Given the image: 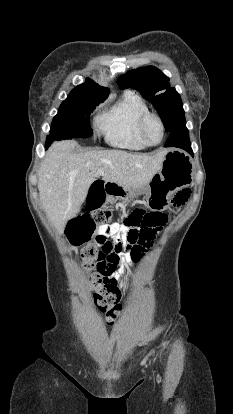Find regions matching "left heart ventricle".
Segmentation results:
<instances>
[{
    "label": "left heart ventricle",
    "mask_w": 233,
    "mask_h": 414,
    "mask_svg": "<svg viewBox=\"0 0 233 414\" xmlns=\"http://www.w3.org/2000/svg\"><path fill=\"white\" fill-rule=\"evenodd\" d=\"M147 135L152 142H157L161 138V129L158 122L151 119L146 127Z\"/></svg>",
    "instance_id": "left-heart-ventricle-1"
}]
</instances>
